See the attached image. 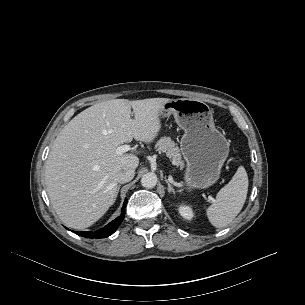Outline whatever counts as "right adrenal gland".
Instances as JSON below:
<instances>
[{"label": "right adrenal gland", "mask_w": 305, "mask_h": 305, "mask_svg": "<svg viewBox=\"0 0 305 305\" xmlns=\"http://www.w3.org/2000/svg\"><path fill=\"white\" fill-rule=\"evenodd\" d=\"M120 184L117 186V191H116V196H115V200H116V198H117V196H118V193H119V190H120Z\"/></svg>", "instance_id": "right-adrenal-gland-1"}]
</instances>
